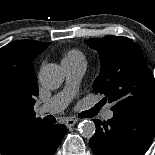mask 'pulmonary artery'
I'll use <instances>...</instances> for the list:
<instances>
[{"label": "pulmonary artery", "mask_w": 155, "mask_h": 155, "mask_svg": "<svg viewBox=\"0 0 155 155\" xmlns=\"http://www.w3.org/2000/svg\"><path fill=\"white\" fill-rule=\"evenodd\" d=\"M62 65L66 72L65 88L62 92L45 102V104L39 109V116L56 114L65 109L86 70V63L84 62H62ZM103 117L105 119H111L113 117V111L107 109L104 112Z\"/></svg>", "instance_id": "pulmonary-artery-1"}]
</instances>
